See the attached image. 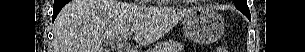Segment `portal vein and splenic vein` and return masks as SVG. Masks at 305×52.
Listing matches in <instances>:
<instances>
[{
	"label": "portal vein and splenic vein",
	"mask_w": 305,
	"mask_h": 52,
	"mask_svg": "<svg viewBox=\"0 0 305 52\" xmlns=\"http://www.w3.org/2000/svg\"><path fill=\"white\" fill-rule=\"evenodd\" d=\"M131 34H132V33H128V34L122 35L121 37H118L117 45H118L119 48L123 47L124 41H125Z\"/></svg>",
	"instance_id": "18ae733b"
}]
</instances>
